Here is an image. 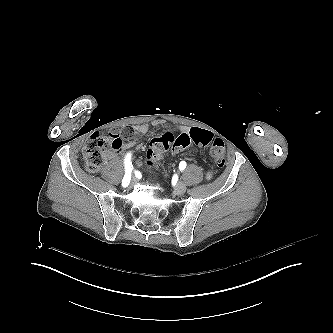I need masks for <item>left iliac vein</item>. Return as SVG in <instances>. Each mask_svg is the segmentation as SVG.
<instances>
[{
  "label": "left iliac vein",
  "instance_id": "1",
  "mask_svg": "<svg viewBox=\"0 0 333 333\" xmlns=\"http://www.w3.org/2000/svg\"><path fill=\"white\" fill-rule=\"evenodd\" d=\"M186 190L185 185L182 182H178L174 187V193L177 195H182Z\"/></svg>",
  "mask_w": 333,
  "mask_h": 333
}]
</instances>
